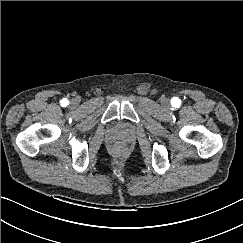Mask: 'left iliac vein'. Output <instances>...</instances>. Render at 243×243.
<instances>
[{
  "label": "left iliac vein",
  "mask_w": 243,
  "mask_h": 243,
  "mask_svg": "<svg viewBox=\"0 0 243 243\" xmlns=\"http://www.w3.org/2000/svg\"><path fill=\"white\" fill-rule=\"evenodd\" d=\"M162 102H163L164 104H167L168 101H167V99L164 98V99L162 100Z\"/></svg>",
  "instance_id": "1"
}]
</instances>
